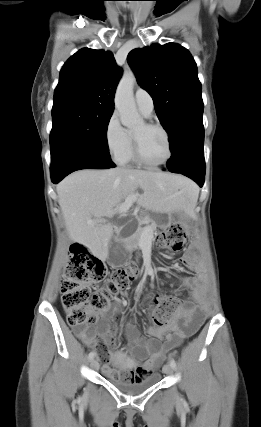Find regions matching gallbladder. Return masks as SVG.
I'll return each instance as SVG.
<instances>
[{"label":"gallbladder","instance_id":"1","mask_svg":"<svg viewBox=\"0 0 261 427\" xmlns=\"http://www.w3.org/2000/svg\"><path fill=\"white\" fill-rule=\"evenodd\" d=\"M127 258V253L122 244L117 243L114 238L109 242V254L107 262L114 266L122 265Z\"/></svg>","mask_w":261,"mask_h":427}]
</instances>
